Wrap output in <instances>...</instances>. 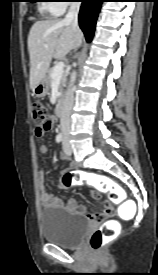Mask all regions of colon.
Masks as SVG:
<instances>
[{"mask_svg": "<svg viewBox=\"0 0 158 275\" xmlns=\"http://www.w3.org/2000/svg\"><path fill=\"white\" fill-rule=\"evenodd\" d=\"M33 120L37 136L48 133L52 128L54 121L49 116L46 107L42 103L33 104ZM95 186L99 191L107 193L111 200L121 201L125 199L124 190L119 187L110 177L90 174L83 171L66 172L62 176V185L64 187H80L83 185ZM110 212L105 208L101 213H95V219H102ZM117 234L116 226L113 221H105L90 238V246L94 250L100 249L106 242L113 239Z\"/></svg>", "mask_w": 158, "mask_h": 275, "instance_id": "1", "label": "colon"}]
</instances>
